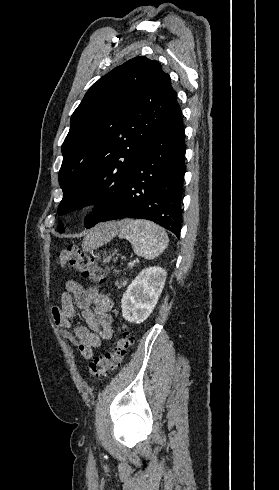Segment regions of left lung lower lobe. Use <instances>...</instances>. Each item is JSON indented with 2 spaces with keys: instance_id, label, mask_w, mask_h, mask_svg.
I'll return each instance as SVG.
<instances>
[{
  "instance_id": "0a47b994",
  "label": "left lung lower lobe",
  "mask_w": 279,
  "mask_h": 490,
  "mask_svg": "<svg viewBox=\"0 0 279 490\" xmlns=\"http://www.w3.org/2000/svg\"><path fill=\"white\" fill-rule=\"evenodd\" d=\"M184 139L178 105L149 136L124 180L116 205L100 222L127 217L147 219L179 238L185 174Z\"/></svg>"
}]
</instances>
